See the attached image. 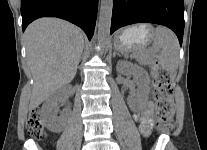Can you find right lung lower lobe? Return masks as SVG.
Instances as JSON below:
<instances>
[{"label":"right lung lower lobe","mask_w":207,"mask_h":150,"mask_svg":"<svg viewBox=\"0 0 207 150\" xmlns=\"http://www.w3.org/2000/svg\"><path fill=\"white\" fill-rule=\"evenodd\" d=\"M98 0H21L22 30L40 17H58L94 34Z\"/></svg>","instance_id":"obj_1"}]
</instances>
